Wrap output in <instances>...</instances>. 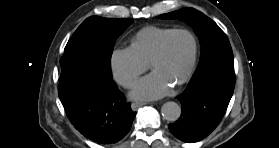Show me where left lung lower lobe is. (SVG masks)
<instances>
[{
  "label": "left lung lower lobe",
  "mask_w": 279,
  "mask_h": 148,
  "mask_svg": "<svg viewBox=\"0 0 279 148\" xmlns=\"http://www.w3.org/2000/svg\"><path fill=\"white\" fill-rule=\"evenodd\" d=\"M235 86L234 62L214 64L195 75L177 96L180 118L169 124L170 132L184 142L208 136L222 120Z\"/></svg>",
  "instance_id": "1"
}]
</instances>
